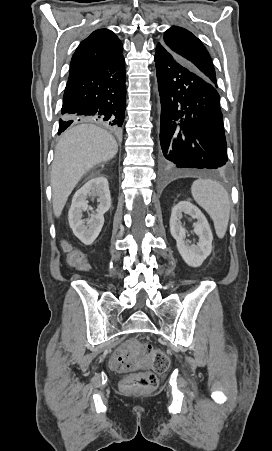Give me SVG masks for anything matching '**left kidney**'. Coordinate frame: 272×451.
<instances>
[{"mask_svg":"<svg viewBox=\"0 0 272 451\" xmlns=\"http://www.w3.org/2000/svg\"><path fill=\"white\" fill-rule=\"evenodd\" d=\"M183 212L196 218L197 224H194V233L198 235L197 245H189L186 243V229L179 224L183 218ZM170 231L174 239H176L177 249L182 255L184 261L192 267H199L203 263L204 259L210 255L212 251V231L210 226L202 212L190 204V202H179L177 206L172 208V214L170 218Z\"/></svg>","mask_w":272,"mask_h":451,"instance_id":"1","label":"left kidney"}]
</instances>
